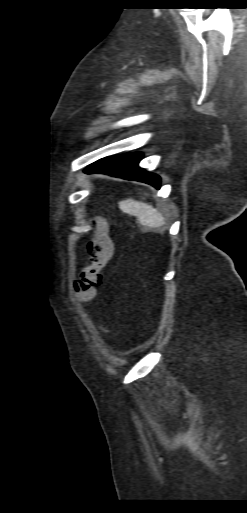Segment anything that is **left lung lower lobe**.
<instances>
[{
    "label": "left lung lower lobe",
    "mask_w": 247,
    "mask_h": 513,
    "mask_svg": "<svg viewBox=\"0 0 247 513\" xmlns=\"http://www.w3.org/2000/svg\"><path fill=\"white\" fill-rule=\"evenodd\" d=\"M141 154H124L98 160L85 169L86 173H105L112 176L141 181L160 189V177L138 167Z\"/></svg>",
    "instance_id": "0a47b994"
}]
</instances>
